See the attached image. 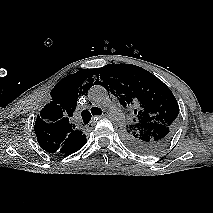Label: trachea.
Returning a JSON list of instances; mask_svg holds the SVG:
<instances>
[{"instance_id": "obj_1", "label": "trachea", "mask_w": 213, "mask_h": 213, "mask_svg": "<svg viewBox=\"0 0 213 213\" xmlns=\"http://www.w3.org/2000/svg\"><path fill=\"white\" fill-rule=\"evenodd\" d=\"M102 114V110L98 107H92L89 110L85 109L82 111L81 115H82V119L84 124H88L89 121L91 120L92 115H100Z\"/></svg>"}]
</instances>
